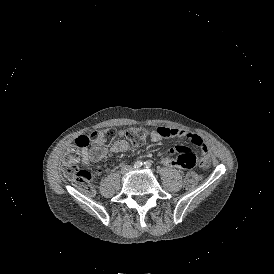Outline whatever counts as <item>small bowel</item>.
Returning <instances> with one entry per match:
<instances>
[{
  "instance_id": "obj_1",
  "label": "small bowel",
  "mask_w": 274,
  "mask_h": 274,
  "mask_svg": "<svg viewBox=\"0 0 274 274\" xmlns=\"http://www.w3.org/2000/svg\"><path fill=\"white\" fill-rule=\"evenodd\" d=\"M167 137H182L190 140L202 150L203 156L199 160V156L189 147L177 146L175 149L171 147L163 152L161 156L164 165L170 168L182 167L186 171H194L199 165L204 167L209 165L210 152L206 143L199 135L190 131L168 127H158L150 134L152 142H159ZM129 147L130 145L126 140L118 139L111 145L110 150L113 153H120L127 151ZM80 152L83 163L90 165L102 160L107 154V148L99 144L91 147L83 146L80 148Z\"/></svg>"
}]
</instances>
